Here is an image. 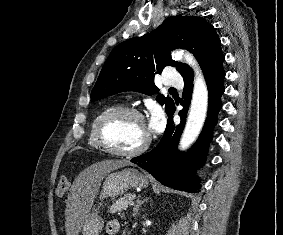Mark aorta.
Wrapping results in <instances>:
<instances>
[{
    "label": "aorta",
    "instance_id": "obj_1",
    "mask_svg": "<svg viewBox=\"0 0 283 235\" xmlns=\"http://www.w3.org/2000/svg\"><path fill=\"white\" fill-rule=\"evenodd\" d=\"M172 56L190 65L195 73L190 111L179 142V149L185 150L196 140L204 125L208 107V89L203 74L190 53L177 51Z\"/></svg>",
    "mask_w": 283,
    "mask_h": 235
}]
</instances>
